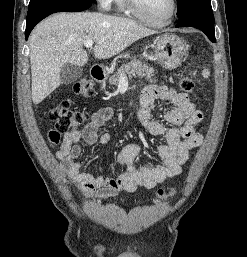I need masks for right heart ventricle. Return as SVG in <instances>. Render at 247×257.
<instances>
[{"mask_svg":"<svg viewBox=\"0 0 247 257\" xmlns=\"http://www.w3.org/2000/svg\"><path fill=\"white\" fill-rule=\"evenodd\" d=\"M114 3L119 12L129 13L128 9L126 8L124 0H114Z\"/></svg>","mask_w":247,"mask_h":257,"instance_id":"1","label":"right heart ventricle"}]
</instances>
